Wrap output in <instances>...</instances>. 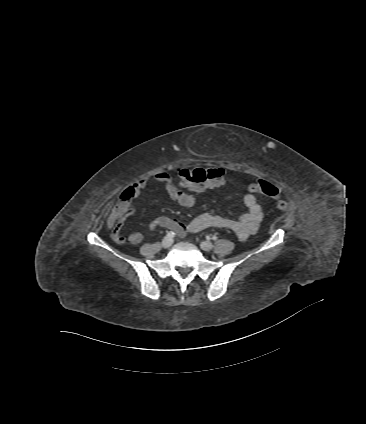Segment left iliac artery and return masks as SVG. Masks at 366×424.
Here are the masks:
<instances>
[{
  "instance_id": "44dca946",
  "label": "left iliac artery",
  "mask_w": 366,
  "mask_h": 424,
  "mask_svg": "<svg viewBox=\"0 0 366 424\" xmlns=\"http://www.w3.org/2000/svg\"><path fill=\"white\" fill-rule=\"evenodd\" d=\"M212 239L215 241V240H217L218 238H217V236H213V237H212Z\"/></svg>"
}]
</instances>
